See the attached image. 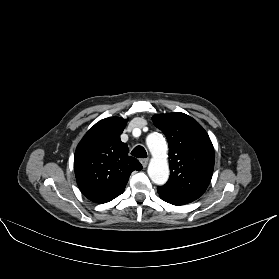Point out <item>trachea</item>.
Returning <instances> with one entry per match:
<instances>
[{
    "mask_svg": "<svg viewBox=\"0 0 279 279\" xmlns=\"http://www.w3.org/2000/svg\"><path fill=\"white\" fill-rule=\"evenodd\" d=\"M131 155L137 158H147V152L142 146H136L132 150Z\"/></svg>",
    "mask_w": 279,
    "mask_h": 279,
    "instance_id": "obj_1",
    "label": "trachea"
}]
</instances>
